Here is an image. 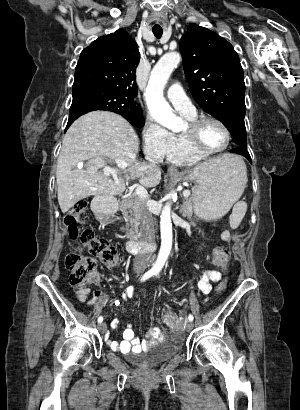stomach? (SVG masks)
Returning <instances> with one entry per match:
<instances>
[{
    "label": "stomach",
    "instance_id": "1",
    "mask_svg": "<svg viewBox=\"0 0 300 410\" xmlns=\"http://www.w3.org/2000/svg\"><path fill=\"white\" fill-rule=\"evenodd\" d=\"M241 162L234 156L229 162L198 166L184 176V179L195 183L192 199L198 217L206 221L218 220L240 198L245 188L239 167Z\"/></svg>",
    "mask_w": 300,
    "mask_h": 410
}]
</instances>
